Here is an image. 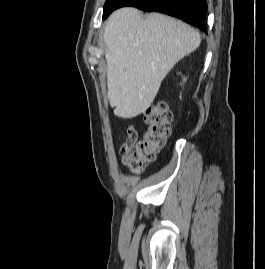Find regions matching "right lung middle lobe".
I'll return each mask as SVG.
<instances>
[{"label": "right lung middle lobe", "mask_w": 265, "mask_h": 269, "mask_svg": "<svg viewBox=\"0 0 265 269\" xmlns=\"http://www.w3.org/2000/svg\"><path fill=\"white\" fill-rule=\"evenodd\" d=\"M115 0H106L105 5H104V12L103 15L109 10V8L111 7L112 3Z\"/></svg>", "instance_id": "right-lung-middle-lobe-1"}]
</instances>
